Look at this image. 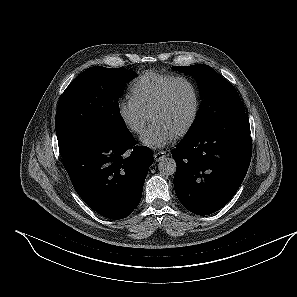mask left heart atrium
Returning <instances> with one entry per match:
<instances>
[{"label": "left heart atrium", "instance_id": "left-heart-atrium-1", "mask_svg": "<svg viewBox=\"0 0 297 297\" xmlns=\"http://www.w3.org/2000/svg\"><path fill=\"white\" fill-rule=\"evenodd\" d=\"M175 134L166 126L152 122L141 138L143 145L151 148H160L170 144Z\"/></svg>", "mask_w": 297, "mask_h": 297}]
</instances>
